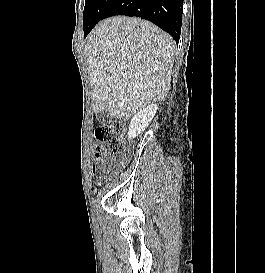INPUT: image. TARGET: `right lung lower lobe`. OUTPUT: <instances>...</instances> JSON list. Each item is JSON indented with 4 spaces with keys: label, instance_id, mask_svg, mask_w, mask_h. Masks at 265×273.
I'll return each mask as SVG.
<instances>
[{
    "label": "right lung lower lobe",
    "instance_id": "right-lung-lower-lobe-1",
    "mask_svg": "<svg viewBox=\"0 0 265 273\" xmlns=\"http://www.w3.org/2000/svg\"><path fill=\"white\" fill-rule=\"evenodd\" d=\"M182 14L183 0H114L103 19L114 15L137 16L153 22L168 32L178 43ZM91 30L84 35L86 36Z\"/></svg>",
    "mask_w": 265,
    "mask_h": 273
}]
</instances>
